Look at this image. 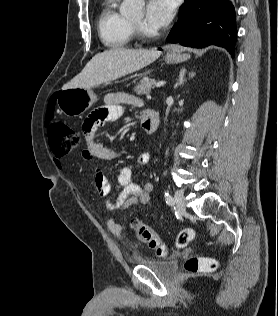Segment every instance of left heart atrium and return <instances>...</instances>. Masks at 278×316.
Instances as JSON below:
<instances>
[{"label": "left heart atrium", "instance_id": "obj_1", "mask_svg": "<svg viewBox=\"0 0 278 316\" xmlns=\"http://www.w3.org/2000/svg\"><path fill=\"white\" fill-rule=\"evenodd\" d=\"M175 12L174 0H148L145 13V26L154 31L170 23Z\"/></svg>", "mask_w": 278, "mask_h": 316}]
</instances>
